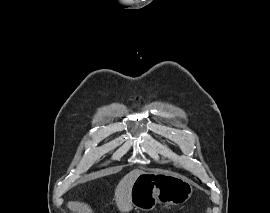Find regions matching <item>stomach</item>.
<instances>
[{
  "label": "stomach",
  "mask_w": 270,
  "mask_h": 213,
  "mask_svg": "<svg viewBox=\"0 0 270 213\" xmlns=\"http://www.w3.org/2000/svg\"><path fill=\"white\" fill-rule=\"evenodd\" d=\"M190 181L165 170H152L139 175L133 183L131 201L137 210L151 211L158 203L179 205L192 194Z\"/></svg>",
  "instance_id": "obj_1"
}]
</instances>
